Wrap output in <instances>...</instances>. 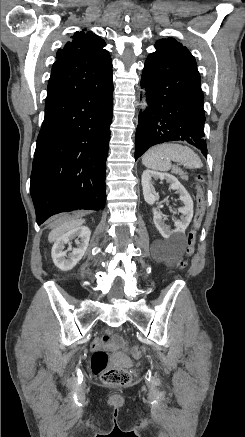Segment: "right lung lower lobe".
<instances>
[{
	"label": "right lung lower lobe",
	"instance_id": "obj_1",
	"mask_svg": "<svg viewBox=\"0 0 245 437\" xmlns=\"http://www.w3.org/2000/svg\"><path fill=\"white\" fill-rule=\"evenodd\" d=\"M112 109V78L45 106L30 182L38 225L61 212L104 209Z\"/></svg>",
	"mask_w": 245,
	"mask_h": 437
}]
</instances>
